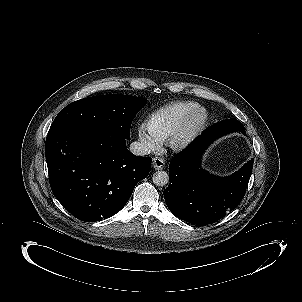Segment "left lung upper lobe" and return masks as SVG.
<instances>
[{
    "label": "left lung upper lobe",
    "mask_w": 302,
    "mask_h": 302,
    "mask_svg": "<svg viewBox=\"0 0 302 302\" xmlns=\"http://www.w3.org/2000/svg\"><path fill=\"white\" fill-rule=\"evenodd\" d=\"M214 132L218 135H224L234 131H240L246 135L245 127L236 119H227L221 122L216 123L212 126Z\"/></svg>",
    "instance_id": "5c2ea615"
}]
</instances>
